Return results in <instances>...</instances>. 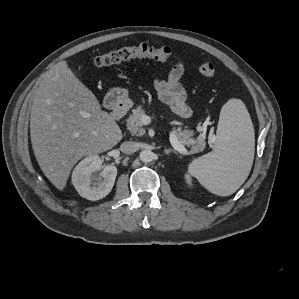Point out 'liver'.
I'll use <instances>...</instances> for the list:
<instances>
[{
    "instance_id": "obj_1",
    "label": "liver",
    "mask_w": 299,
    "mask_h": 299,
    "mask_svg": "<svg viewBox=\"0 0 299 299\" xmlns=\"http://www.w3.org/2000/svg\"><path fill=\"white\" fill-rule=\"evenodd\" d=\"M30 136L42 172L63 190L78 160L110 150L122 132L67 62L60 61L46 72L35 93Z\"/></svg>"
}]
</instances>
